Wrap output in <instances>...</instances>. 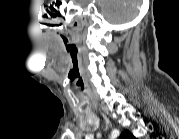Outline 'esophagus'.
<instances>
[{
	"instance_id": "34e87169",
	"label": "esophagus",
	"mask_w": 179,
	"mask_h": 139,
	"mask_svg": "<svg viewBox=\"0 0 179 139\" xmlns=\"http://www.w3.org/2000/svg\"><path fill=\"white\" fill-rule=\"evenodd\" d=\"M103 119L106 122V124H110L111 125V122L109 121V119L105 115H103Z\"/></svg>"
}]
</instances>
